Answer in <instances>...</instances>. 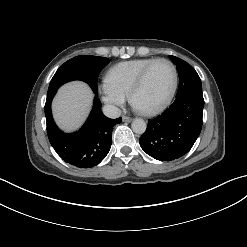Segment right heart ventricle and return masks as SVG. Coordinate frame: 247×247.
<instances>
[{"label":"right heart ventricle","instance_id":"obj_1","mask_svg":"<svg viewBox=\"0 0 247 247\" xmlns=\"http://www.w3.org/2000/svg\"><path fill=\"white\" fill-rule=\"evenodd\" d=\"M157 58H139L120 62L112 66L107 79L125 93H129L141 71Z\"/></svg>","mask_w":247,"mask_h":247}]
</instances>
